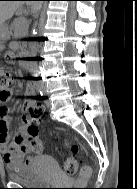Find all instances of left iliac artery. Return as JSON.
I'll return each instance as SVG.
<instances>
[{"mask_svg":"<svg viewBox=\"0 0 137 189\" xmlns=\"http://www.w3.org/2000/svg\"><path fill=\"white\" fill-rule=\"evenodd\" d=\"M40 95L43 96V95H44V92H43V91H40Z\"/></svg>","mask_w":137,"mask_h":189,"instance_id":"left-iliac-artery-1","label":"left iliac artery"}]
</instances>
